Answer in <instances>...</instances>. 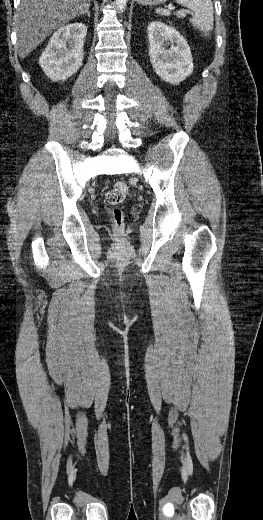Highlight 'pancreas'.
I'll list each match as a JSON object with an SVG mask.
<instances>
[{"label":"pancreas","instance_id":"obj_1","mask_svg":"<svg viewBox=\"0 0 263 520\" xmlns=\"http://www.w3.org/2000/svg\"><path fill=\"white\" fill-rule=\"evenodd\" d=\"M177 16H178L179 18H183V17H184V12H183V11H182V12H179V13L177 14Z\"/></svg>","mask_w":263,"mask_h":520}]
</instances>
